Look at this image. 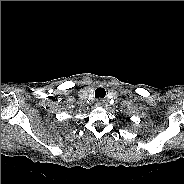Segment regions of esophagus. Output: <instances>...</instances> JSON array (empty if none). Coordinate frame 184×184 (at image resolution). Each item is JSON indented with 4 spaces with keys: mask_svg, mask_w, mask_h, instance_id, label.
I'll use <instances>...</instances> for the list:
<instances>
[{
    "mask_svg": "<svg viewBox=\"0 0 184 184\" xmlns=\"http://www.w3.org/2000/svg\"><path fill=\"white\" fill-rule=\"evenodd\" d=\"M103 103H104V101H103V100L98 99V100L96 101V106L101 107V106L103 105Z\"/></svg>",
    "mask_w": 184,
    "mask_h": 184,
    "instance_id": "esophagus-1",
    "label": "esophagus"
}]
</instances>
